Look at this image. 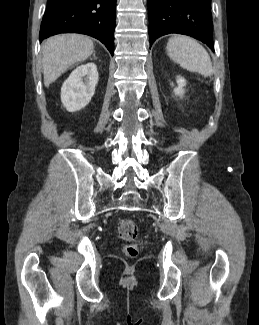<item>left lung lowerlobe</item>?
I'll use <instances>...</instances> for the list:
<instances>
[{
  "label": "left lung lower lobe",
  "mask_w": 259,
  "mask_h": 325,
  "mask_svg": "<svg viewBox=\"0 0 259 325\" xmlns=\"http://www.w3.org/2000/svg\"><path fill=\"white\" fill-rule=\"evenodd\" d=\"M149 39L166 34L194 37L214 50L211 0H148Z\"/></svg>",
  "instance_id": "obj_1"
}]
</instances>
